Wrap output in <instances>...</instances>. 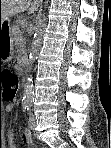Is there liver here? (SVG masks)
Segmentation results:
<instances>
[{"instance_id": "obj_1", "label": "liver", "mask_w": 111, "mask_h": 148, "mask_svg": "<svg viewBox=\"0 0 111 148\" xmlns=\"http://www.w3.org/2000/svg\"><path fill=\"white\" fill-rule=\"evenodd\" d=\"M41 0H1L0 1V20L4 22L9 17L24 12L27 9L33 12L37 9Z\"/></svg>"}]
</instances>
